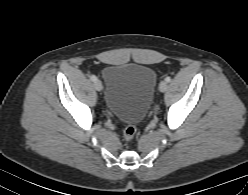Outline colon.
<instances>
[{
	"instance_id": "5ec220e1",
	"label": "colon",
	"mask_w": 248,
	"mask_h": 195,
	"mask_svg": "<svg viewBox=\"0 0 248 195\" xmlns=\"http://www.w3.org/2000/svg\"><path fill=\"white\" fill-rule=\"evenodd\" d=\"M137 128L135 124H128L124 128L123 138L126 142H131L136 135Z\"/></svg>"
}]
</instances>
